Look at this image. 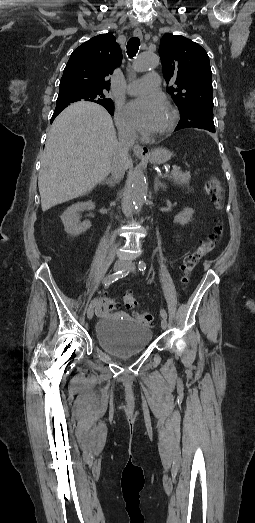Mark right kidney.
I'll return each mask as SVG.
<instances>
[{
  "label": "right kidney",
  "instance_id": "obj_1",
  "mask_svg": "<svg viewBox=\"0 0 255 523\" xmlns=\"http://www.w3.org/2000/svg\"><path fill=\"white\" fill-rule=\"evenodd\" d=\"M93 206L94 204L91 200H89V202H78V204L69 206V208L63 212L62 216H60L64 224L65 232L71 234V236H79V234L91 228V222H88V220L87 222L79 224L78 212H84V210L93 208Z\"/></svg>",
  "mask_w": 255,
  "mask_h": 523
}]
</instances>
